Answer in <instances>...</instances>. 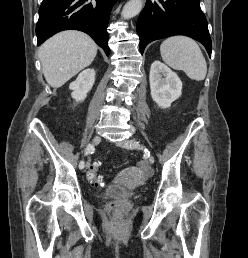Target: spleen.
Masks as SVG:
<instances>
[{"instance_id": "obj_1", "label": "spleen", "mask_w": 248, "mask_h": 258, "mask_svg": "<svg viewBox=\"0 0 248 258\" xmlns=\"http://www.w3.org/2000/svg\"><path fill=\"white\" fill-rule=\"evenodd\" d=\"M163 61L175 70H183L195 81H202L207 74V64L199 45L186 36H173L160 46Z\"/></svg>"}]
</instances>
